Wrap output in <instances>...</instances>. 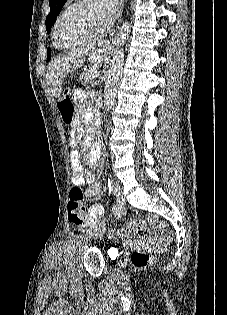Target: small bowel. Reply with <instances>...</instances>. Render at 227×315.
<instances>
[{
	"instance_id": "c3829d8e",
	"label": "small bowel",
	"mask_w": 227,
	"mask_h": 315,
	"mask_svg": "<svg viewBox=\"0 0 227 315\" xmlns=\"http://www.w3.org/2000/svg\"><path fill=\"white\" fill-rule=\"evenodd\" d=\"M74 97L77 101H82L86 97V93L82 90H75ZM84 131L83 128L75 124L71 131L68 144L71 148L70 151V165L72 169V183L75 186H84L89 184L85 190V195L87 197H93L98 194L100 191V186L95 183V173L93 170H85L81 154L79 151V145L81 144L82 148L88 151L87 163L90 166H94L97 163L99 152L97 147L93 146L92 141L89 138L83 137ZM104 206H90L89 207V216L85 224L75 225L77 227H84L92 225L93 222H98V214H103Z\"/></svg>"
}]
</instances>
